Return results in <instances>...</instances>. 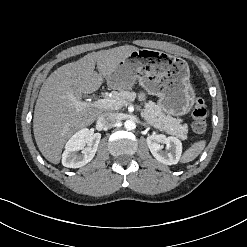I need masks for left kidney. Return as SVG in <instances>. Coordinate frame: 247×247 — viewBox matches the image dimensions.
Wrapping results in <instances>:
<instances>
[{
	"label": "left kidney",
	"mask_w": 247,
	"mask_h": 247,
	"mask_svg": "<svg viewBox=\"0 0 247 247\" xmlns=\"http://www.w3.org/2000/svg\"><path fill=\"white\" fill-rule=\"evenodd\" d=\"M147 145L154 158L165 165L177 164L182 154V143L176 137H166L162 134H152L146 139ZM166 149H163V145Z\"/></svg>",
	"instance_id": "left-kidney-1"
}]
</instances>
